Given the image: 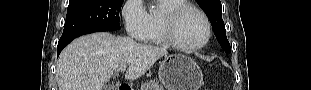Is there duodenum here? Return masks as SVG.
Instances as JSON below:
<instances>
[{"label": "duodenum", "mask_w": 311, "mask_h": 90, "mask_svg": "<svg viewBox=\"0 0 311 90\" xmlns=\"http://www.w3.org/2000/svg\"><path fill=\"white\" fill-rule=\"evenodd\" d=\"M117 90H131V87L127 84H122L118 87Z\"/></svg>", "instance_id": "obj_1"}]
</instances>
